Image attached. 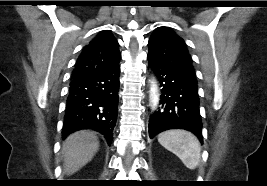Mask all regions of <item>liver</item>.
I'll return each instance as SVG.
<instances>
[{
    "instance_id": "liver-1",
    "label": "liver",
    "mask_w": 267,
    "mask_h": 186,
    "mask_svg": "<svg viewBox=\"0 0 267 186\" xmlns=\"http://www.w3.org/2000/svg\"><path fill=\"white\" fill-rule=\"evenodd\" d=\"M99 141L92 131L82 130L69 135L62 145L64 173L72 175L92 160Z\"/></svg>"
}]
</instances>
